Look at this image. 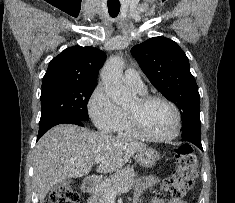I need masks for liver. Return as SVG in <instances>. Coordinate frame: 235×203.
<instances>
[{
  "label": "liver",
  "instance_id": "1",
  "mask_svg": "<svg viewBox=\"0 0 235 203\" xmlns=\"http://www.w3.org/2000/svg\"><path fill=\"white\" fill-rule=\"evenodd\" d=\"M146 144L90 131L72 124L53 127L38 141L34 151L33 182L40 203L49 190L67 178L87 175L97 157L99 173L122 168Z\"/></svg>",
  "mask_w": 235,
  "mask_h": 203
}]
</instances>
